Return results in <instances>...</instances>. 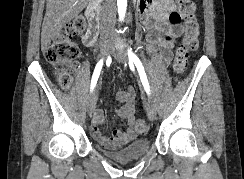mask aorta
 Listing matches in <instances>:
<instances>
[{"label": "aorta", "instance_id": "762f6f07", "mask_svg": "<svg viewBox=\"0 0 244 179\" xmlns=\"http://www.w3.org/2000/svg\"><path fill=\"white\" fill-rule=\"evenodd\" d=\"M118 14L120 20H124L127 8V0H117Z\"/></svg>", "mask_w": 244, "mask_h": 179}]
</instances>
